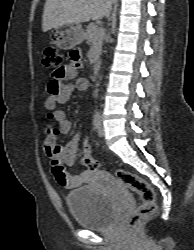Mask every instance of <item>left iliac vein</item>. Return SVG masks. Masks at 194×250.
I'll list each match as a JSON object with an SVG mask.
<instances>
[{
    "mask_svg": "<svg viewBox=\"0 0 194 250\" xmlns=\"http://www.w3.org/2000/svg\"><path fill=\"white\" fill-rule=\"evenodd\" d=\"M102 117L100 118V123H99V127L97 130V133L99 136H103L104 135V128H103V124H102Z\"/></svg>",
    "mask_w": 194,
    "mask_h": 250,
    "instance_id": "obj_1",
    "label": "left iliac vein"
}]
</instances>
